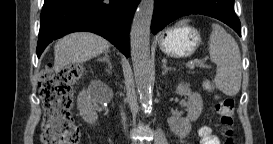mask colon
<instances>
[{"mask_svg":"<svg viewBox=\"0 0 273 144\" xmlns=\"http://www.w3.org/2000/svg\"><path fill=\"white\" fill-rule=\"evenodd\" d=\"M82 75L79 67H69L60 71L45 69L40 74L39 93L44 106V120L41 140L43 144H77L80 131L74 123L71 107L73 101L72 84ZM233 98L219 99L216 111L224 136L223 144H234Z\"/></svg>","mask_w":273,"mask_h":144,"instance_id":"1","label":"colon"}]
</instances>
